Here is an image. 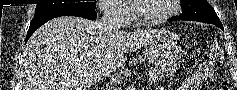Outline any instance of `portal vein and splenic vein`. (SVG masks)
Segmentation results:
<instances>
[{
	"label": "portal vein and splenic vein",
	"instance_id": "obj_1",
	"mask_svg": "<svg viewBox=\"0 0 237 90\" xmlns=\"http://www.w3.org/2000/svg\"><path fill=\"white\" fill-rule=\"evenodd\" d=\"M112 82H117L116 78H111Z\"/></svg>",
	"mask_w": 237,
	"mask_h": 90
}]
</instances>
